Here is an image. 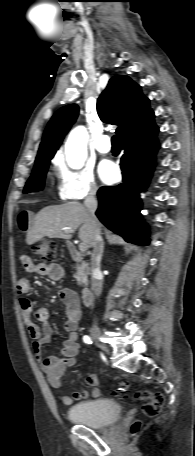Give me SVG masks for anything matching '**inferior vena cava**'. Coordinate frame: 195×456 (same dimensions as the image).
<instances>
[{"label": "inferior vena cava", "mask_w": 195, "mask_h": 456, "mask_svg": "<svg viewBox=\"0 0 195 456\" xmlns=\"http://www.w3.org/2000/svg\"><path fill=\"white\" fill-rule=\"evenodd\" d=\"M96 189H92L89 192V195L84 201V206L86 207L91 224L94 229V243H93V252L91 255V270H92V279H91V289L95 296H100L102 292V273L100 271V262L104 249V242L100 234V224L95 215L97 209V200H96Z\"/></svg>", "instance_id": "1"}]
</instances>
